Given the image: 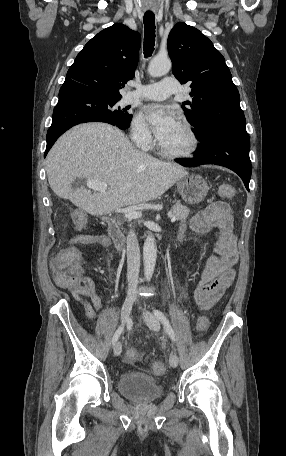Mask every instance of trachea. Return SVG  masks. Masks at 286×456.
<instances>
[{
  "label": "trachea",
  "mask_w": 286,
  "mask_h": 456,
  "mask_svg": "<svg viewBox=\"0 0 286 456\" xmlns=\"http://www.w3.org/2000/svg\"><path fill=\"white\" fill-rule=\"evenodd\" d=\"M144 56L150 57L155 46V15L152 12L144 14Z\"/></svg>",
  "instance_id": "trachea-1"
}]
</instances>
